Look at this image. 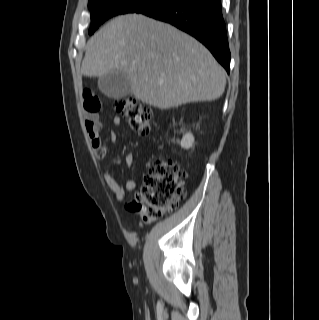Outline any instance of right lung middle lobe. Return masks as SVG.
<instances>
[{
    "mask_svg": "<svg viewBox=\"0 0 319 320\" xmlns=\"http://www.w3.org/2000/svg\"><path fill=\"white\" fill-rule=\"evenodd\" d=\"M162 1L164 0H89L88 7L91 11L89 34H93L99 25L112 16L139 12Z\"/></svg>",
    "mask_w": 319,
    "mask_h": 320,
    "instance_id": "right-lung-middle-lobe-1",
    "label": "right lung middle lobe"
}]
</instances>
